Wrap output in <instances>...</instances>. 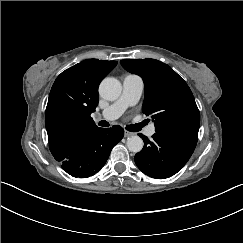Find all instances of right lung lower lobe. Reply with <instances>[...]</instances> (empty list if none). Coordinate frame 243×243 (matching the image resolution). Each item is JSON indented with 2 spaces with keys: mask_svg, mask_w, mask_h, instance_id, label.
I'll list each match as a JSON object with an SVG mask.
<instances>
[{
  "mask_svg": "<svg viewBox=\"0 0 243 243\" xmlns=\"http://www.w3.org/2000/svg\"><path fill=\"white\" fill-rule=\"evenodd\" d=\"M120 126L94 128L76 140L61 155L62 168L71 176L87 178L97 173L106 163L112 148L122 139Z\"/></svg>",
  "mask_w": 243,
  "mask_h": 243,
  "instance_id": "1",
  "label": "right lung lower lobe"
}]
</instances>
